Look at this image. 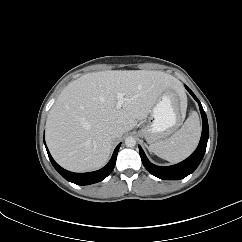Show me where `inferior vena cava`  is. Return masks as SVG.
Wrapping results in <instances>:
<instances>
[{
	"instance_id": "inferior-vena-cava-1",
	"label": "inferior vena cava",
	"mask_w": 242,
	"mask_h": 242,
	"mask_svg": "<svg viewBox=\"0 0 242 242\" xmlns=\"http://www.w3.org/2000/svg\"><path fill=\"white\" fill-rule=\"evenodd\" d=\"M123 133H124V131L120 126H113L110 129V134L114 139L121 137L123 135Z\"/></svg>"
}]
</instances>
